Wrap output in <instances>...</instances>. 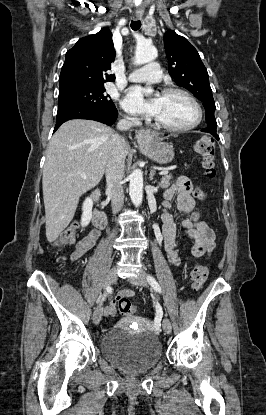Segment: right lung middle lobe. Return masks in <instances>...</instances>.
I'll use <instances>...</instances> for the list:
<instances>
[{"mask_svg": "<svg viewBox=\"0 0 266 415\" xmlns=\"http://www.w3.org/2000/svg\"><path fill=\"white\" fill-rule=\"evenodd\" d=\"M104 85L76 88L59 93V107H86L101 110L115 108Z\"/></svg>", "mask_w": 266, "mask_h": 415, "instance_id": "1", "label": "right lung middle lobe"}]
</instances>
